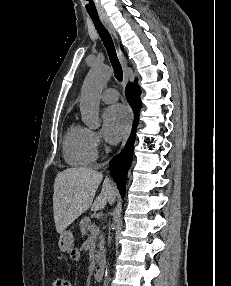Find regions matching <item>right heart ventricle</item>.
I'll use <instances>...</instances> for the list:
<instances>
[{
    "label": "right heart ventricle",
    "instance_id": "right-heart-ventricle-1",
    "mask_svg": "<svg viewBox=\"0 0 231 286\" xmlns=\"http://www.w3.org/2000/svg\"><path fill=\"white\" fill-rule=\"evenodd\" d=\"M62 145L64 160L71 166H88L97 159V150L92 141L91 131L78 123L70 124Z\"/></svg>",
    "mask_w": 231,
    "mask_h": 286
}]
</instances>
